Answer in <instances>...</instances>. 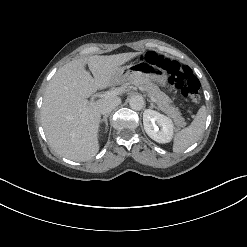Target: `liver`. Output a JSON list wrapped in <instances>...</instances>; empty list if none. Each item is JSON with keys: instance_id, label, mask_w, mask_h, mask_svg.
I'll return each mask as SVG.
<instances>
[{"instance_id": "6515ba94", "label": "liver", "mask_w": 247, "mask_h": 247, "mask_svg": "<svg viewBox=\"0 0 247 247\" xmlns=\"http://www.w3.org/2000/svg\"><path fill=\"white\" fill-rule=\"evenodd\" d=\"M141 52L95 55L75 59L58 69L43 98L41 123L51 148L78 162L92 159L99 151L100 104L112 97L89 102L97 90L121 82L116 71ZM88 65L94 78L86 71Z\"/></svg>"}]
</instances>
